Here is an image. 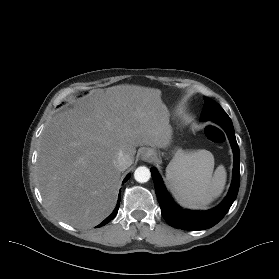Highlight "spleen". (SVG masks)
<instances>
[{"label":"spleen","mask_w":279,"mask_h":279,"mask_svg":"<svg viewBox=\"0 0 279 279\" xmlns=\"http://www.w3.org/2000/svg\"><path fill=\"white\" fill-rule=\"evenodd\" d=\"M214 157L207 150L181 152L168 165L166 178L177 201L187 208L204 209L224 190L226 170L214 171Z\"/></svg>","instance_id":"3e777b00"}]
</instances>
